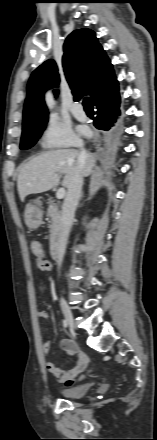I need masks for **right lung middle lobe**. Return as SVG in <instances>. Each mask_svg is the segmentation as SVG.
<instances>
[{"instance_id":"right-lung-middle-lobe-1","label":"right lung middle lobe","mask_w":157,"mask_h":440,"mask_svg":"<svg viewBox=\"0 0 157 440\" xmlns=\"http://www.w3.org/2000/svg\"><path fill=\"white\" fill-rule=\"evenodd\" d=\"M46 123L40 122L23 126L20 148L25 150L32 147L44 131Z\"/></svg>"}]
</instances>
